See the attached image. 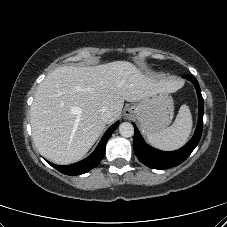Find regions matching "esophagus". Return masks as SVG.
I'll return each mask as SVG.
<instances>
[{
  "label": "esophagus",
  "mask_w": 227,
  "mask_h": 227,
  "mask_svg": "<svg viewBox=\"0 0 227 227\" xmlns=\"http://www.w3.org/2000/svg\"><path fill=\"white\" fill-rule=\"evenodd\" d=\"M133 111L131 108H127L125 111H124V116L125 117H130L132 115Z\"/></svg>",
  "instance_id": "1"
}]
</instances>
